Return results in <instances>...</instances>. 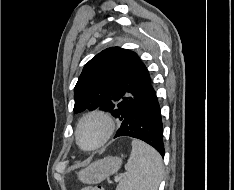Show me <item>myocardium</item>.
I'll return each instance as SVG.
<instances>
[{"mask_svg": "<svg viewBox=\"0 0 234 190\" xmlns=\"http://www.w3.org/2000/svg\"><path fill=\"white\" fill-rule=\"evenodd\" d=\"M92 121H97L102 125L103 134L98 142H96L95 144H93L91 146H85L81 142L80 134H81L83 127L87 123L92 122ZM114 128H115V125H114L113 119L108 113H106L102 110L90 111L87 114H85L79 120V122L77 124L76 130H75L76 142L83 150H86V151L96 150V149L102 147L110 139V137L112 136V134L114 132Z\"/></svg>", "mask_w": 234, "mask_h": 190, "instance_id": "myocardium-1", "label": "myocardium"}]
</instances>
